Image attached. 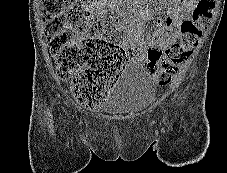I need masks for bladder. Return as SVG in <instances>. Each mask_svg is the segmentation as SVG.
<instances>
[{
  "label": "bladder",
  "mask_w": 227,
  "mask_h": 173,
  "mask_svg": "<svg viewBox=\"0 0 227 173\" xmlns=\"http://www.w3.org/2000/svg\"><path fill=\"white\" fill-rule=\"evenodd\" d=\"M153 81L140 64H129L102 101L100 109L110 114L138 111L153 94Z\"/></svg>",
  "instance_id": "obj_1"
}]
</instances>
